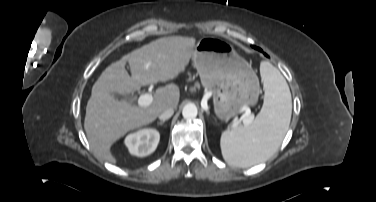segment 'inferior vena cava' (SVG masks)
<instances>
[{"label": "inferior vena cava", "instance_id": "1", "mask_svg": "<svg viewBox=\"0 0 376 202\" xmlns=\"http://www.w3.org/2000/svg\"><path fill=\"white\" fill-rule=\"evenodd\" d=\"M174 114V109L173 108H168L166 110H164L160 115H159V119L161 121H166L168 120L169 118H171V116Z\"/></svg>", "mask_w": 376, "mask_h": 202}]
</instances>
